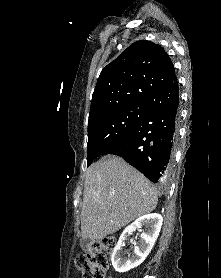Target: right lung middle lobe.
<instances>
[{"label":"right lung middle lobe","instance_id":"right-lung-middle-lobe-1","mask_svg":"<svg viewBox=\"0 0 221 278\" xmlns=\"http://www.w3.org/2000/svg\"><path fill=\"white\" fill-rule=\"evenodd\" d=\"M146 112V102L138 101L89 120L87 165L89 166L111 143L128 134Z\"/></svg>","mask_w":221,"mask_h":278}]
</instances>
